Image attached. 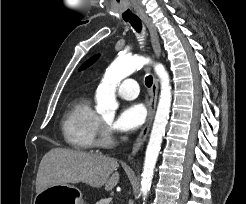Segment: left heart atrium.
Masks as SVG:
<instances>
[{
	"label": "left heart atrium",
	"instance_id": "left-heart-atrium-1",
	"mask_svg": "<svg viewBox=\"0 0 246 204\" xmlns=\"http://www.w3.org/2000/svg\"><path fill=\"white\" fill-rule=\"evenodd\" d=\"M146 119V109L140 103H133L122 108L113 123L114 130L129 132L138 129Z\"/></svg>",
	"mask_w": 246,
	"mask_h": 204
}]
</instances>
